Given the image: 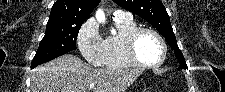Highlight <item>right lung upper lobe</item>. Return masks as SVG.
Masks as SVG:
<instances>
[{
    "instance_id": "obj_1",
    "label": "right lung upper lobe",
    "mask_w": 225,
    "mask_h": 92,
    "mask_svg": "<svg viewBox=\"0 0 225 92\" xmlns=\"http://www.w3.org/2000/svg\"><path fill=\"white\" fill-rule=\"evenodd\" d=\"M100 0H57L51 8L47 25L86 20Z\"/></svg>"
}]
</instances>
